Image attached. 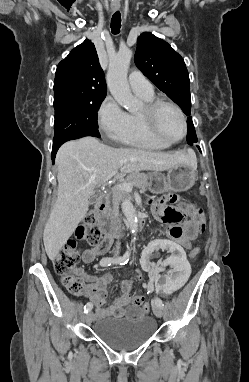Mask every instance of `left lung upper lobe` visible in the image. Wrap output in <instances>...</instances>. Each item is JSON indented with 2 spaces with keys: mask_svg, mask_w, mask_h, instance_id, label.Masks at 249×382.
Segmentation results:
<instances>
[{
  "mask_svg": "<svg viewBox=\"0 0 249 382\" xmlns=\"http://www.w3.org/2000/svg\"><path fill=\"white\" fill-rule=\"evenodd\" d=\"M135 64L188 116L187 143H196L197 137L190 116V80L183 58L167 42L152 33L144 32L137 40Z\"/></svg>",
  "mask_w": 249,
  "mask_h": 382,
  "instance_id": "1",
  "label": "left lung upper lobe"
}]
</instances>
